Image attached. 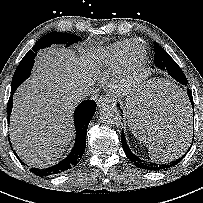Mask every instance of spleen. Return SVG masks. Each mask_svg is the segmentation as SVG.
I'll use <instances>...</instances> for the list:
<instances>
[{"label":"spleen","mask_w":203,"mask_h":203,"mask_svg":"<svg viewBox=\"0 0 203 203\" xmlns=\"http://www.w3.org/2000/svg\"><path fill=\"white\" fill-rule=\"evenodd\" d=\"M144 98L148 104L156 107V109L161 111L160 113L163 114L174 112L181 115L185 110L184 108H186L184 106L188 103L186 101L184 91L168 80H157L152 83L144 92ZM140 114L141 112L138 113V117ZM188 115L189 111L186 116ZM133 133L136 136L138 135L139 140L145 143L148 148L150 158L153 161L160 163L173 161L174 159L179 158L187 149L190 141L189 131L186 130V132H184L180 137L174 140H169L161 147H156L155 145L148 143L146 138L140 133H137L135 130H133Z\"/></svg>","instance_id":"3e777b00"}]
</instances>
